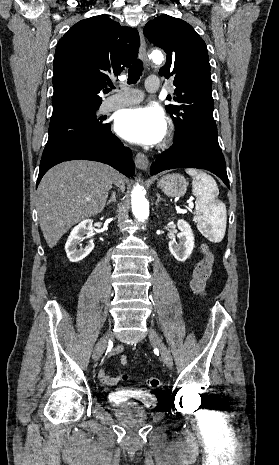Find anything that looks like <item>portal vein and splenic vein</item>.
<instances>
[{
    "label": "portal vein and splenic vein",
    "mask_w": 279,
    "mask_h": 465,
    "mask_svg": "<svg viewBox=\"0 0 279 465\" xmlns=\"http://www.w3.org/2000/svg\"><path fill=\"white\" fill-rule=\"evenodd\" d=\"M86 200H87V201H89V200H90V198H89V197H87V198H86ZM189 206H191V207H192V202H191V200H189Z\"/></svg>",
    "instance_id": "1"
}]
</instances>
